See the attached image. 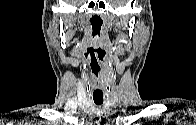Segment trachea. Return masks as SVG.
I'll list each match as a JSON object with an SVG mask.
<instances>
[{"mask_svg": "<svg viewBox=\"0 0 196 125\" xmlns=\"http://www.w3.org/2000/svg\"><path fill=\"white\" fill-rule=\"evenodd\" d=\"M96 105H101L103 103V101H99V100H94Z\"/></svg>", "mask_w": 196, "mask_h": 125, "instance_id": "obj_1", "label": "trachea"}]
</instances>
